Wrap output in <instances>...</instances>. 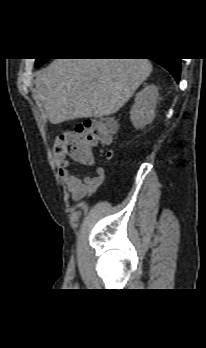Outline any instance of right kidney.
<instances>
[{"instance_id":"right-kidney-1","label":"right kidney","mask_w":206,"mask_h":348,"mask_svg":"<svg viewBox=\"0 0 206 348\" xmlns=\"http://www.w3.org/2000/svg\"><path fill=\"white\" fill-rule=\"evenodd\" d=\"M157 98L158 88L155 85L146 86L136 94L130 111V119L135 128H144L154 120Z\"/></svg>"}]
</instances>
